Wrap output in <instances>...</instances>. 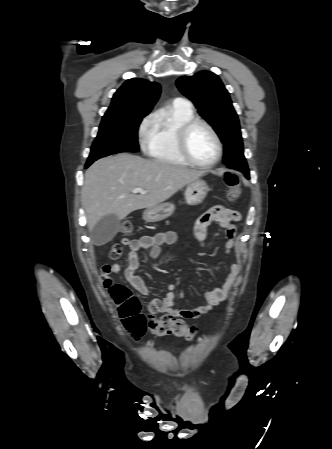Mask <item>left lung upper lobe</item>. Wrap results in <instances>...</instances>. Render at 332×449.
I'll return each mask as SVG.
<instances>
[{
    "label": "left lung upper lobe",
    "instance_id": "obj_1",
    "mask_svg": "<svg viewBox=\"0 0 332 449\" xmlns=\"http://www.w3.org/2000/svg\"><path fill=\"white\" fill-rule=\"evenodd\" d=\"M176 84L220 137L224 144V164L249 178L239 120L220 78L212 72L201 71L193 76L180 77Z\"/></svg>",
    "mask_w": 332,
    "mask_h": 449
}]
</instances>
